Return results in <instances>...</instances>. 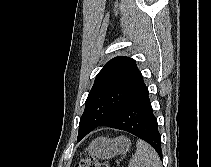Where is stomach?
<instances>
[{
    "label": "stomach",
    "instance_id": "0dacf381",
    "mask_svg": "<svg viewBox=\"0 0 211 167\" xmlns=\"http://www.w3.org/2000/svg\"><path fill=\"white\" fill-rule=\"evenodd\" d=\"M131 146V142L126 137L115 139L99 137L91 142L87 151L89 155L100 159H109L116 155H126Z\"/></svg>",
    "mask_w": 211,
    "mask_h": 167
}]
</instances>
